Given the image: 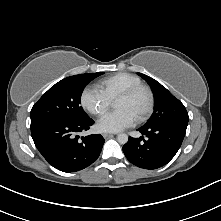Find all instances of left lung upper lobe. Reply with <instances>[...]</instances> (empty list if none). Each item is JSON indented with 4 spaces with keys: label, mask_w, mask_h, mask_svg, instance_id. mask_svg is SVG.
I'll use <instances>...</instances> for the list:
<instances>
[{
    "label": "left lung upper lobe",
    "mask_w": 221,
    "mask_h": 221,
    "mask_svg": "<svg viewBox=\"0 0 221 221\" xmlns=\"http://www.w3.org/2000/svg\"><path fill=\"white\" fill-rule=\"evenodd\" d=\"M138 75L150 85L154 95V112L144 126H155L172 121L188 122V113L181 101L155 79L142 73Z\"/></svg>",
    "instance_id": "1"
}]
</instances>
